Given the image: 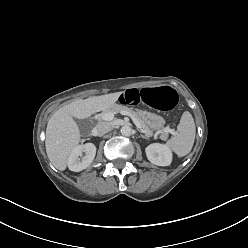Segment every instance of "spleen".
Segmentation results:
<instances>
[{
    "label": "spleen",
    "instance_id": "1",
    "mask_svg": "<svg viewBox=\"0 0 248 248\" xmlns=\"http://www.w3.org/2000/svg\"><path fill=\"white\" fill-rule=\"evenodd\" d=\"M177 130V136L168 140L167 147L179 157H183L191 151L196 134L194 119L188 111L182 114Z\"/></svg>",
    "mask_w": 248,
    "mask_h": 248
}]
</instances>
